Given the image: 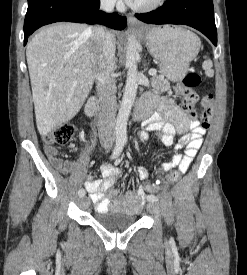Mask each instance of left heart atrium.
I'll use <instances>...</instances> for the list:
<instances>
[{
  "label": "left heart atrium",
  "instance_id": "39dd6f15",
  "mask_svg": "<svg viewBox=\"0 0 247 275\" xmlns=\"http://www.w3.org/2000/svg\"><path fill=\"white\" fill-rule=\"evenodd\" d=\"M129 5H135L137 0H125Z\"/></svg>",
  "mask_w": 247,
  "mask_h": 275
}]
</instances>
